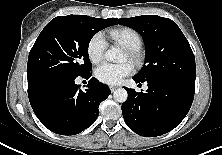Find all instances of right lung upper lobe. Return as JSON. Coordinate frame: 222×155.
<instances>
[{
  "label": "right lung upper lobe",
  "mask_w": 222,
  "mask_h": 155,
  "mask_svg": "<svg viewBox=\"0 0 222 155\" xmlns=\"http://www.w3.org/2000/svg\"><path fill=\"white\" fill-rule=\"evenodd\" d=\"M117 21V18H115ZM49 90V87L38 85L28 81V96L29 98H38Z\"/></svg>",
  "instance_id": "cb5924a9"
}]
</instances>
